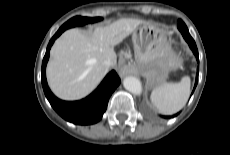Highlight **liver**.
Listing matches in <instances>:
<instances>
[{"mask_svg":"<svg viewBox=\"0 0 230 155\" xmlns=\"http://www.w3.org/2000/svg\"><path fill=\"white\" fill-rule=\"evenodd\" d=\"M143 22L121 18L95 28L92 33L79 29L65 31L52 46L46 69L53 93L63 100H79L90 94L107 73L103 61L116 58L114 46Z\"/></svg>","mask_w":230,"mask_h":155,"instance_id":"obj_1","label":"liver"}]
</instances>
